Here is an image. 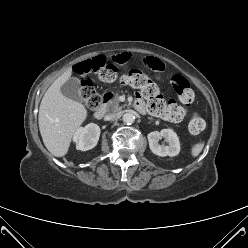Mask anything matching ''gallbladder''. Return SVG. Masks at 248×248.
<instances>
[{
    "label": "gallbladder",
    "instance_id": "obj_1",
    "mask_svg": "<svg viewBox=\"0 0 248 248\" xmlns=\"http://www.w3.org/2000/svg\"><path fill=\"white\" fill-rule=\"evenodd\" d=\"M80 89V80L76 77H71L60 87L61 93L74 101H81Z\"/></svg>",
    "mask_w": 248,
    "mask_h": 248
}]
</instances>
